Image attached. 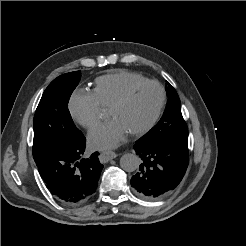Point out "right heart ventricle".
<instances>
[{"label": "right heart ventricle", "mask_w": 246, "mask_h": 246, "mask_svg": "<svg viewBox=\"0 0 246 246\" xmlns=\"http://www.w3.org/2000/svg\"><path fill=\"white\" fill-rule=\"evenodd\" d=\"M144 79L134 72L115 71L97 77L91 93L102 108L108 109L130 85Z\"/></svg>", "instance_id": "1"}]
</instances>
